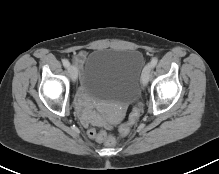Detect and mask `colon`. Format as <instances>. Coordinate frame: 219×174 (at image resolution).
Returning <instances> with one entry per match:
<instances>
[{
	"label": "colon",
	"instance_id": "colon-1",
	"mask_svg": "<svg viewBox=\"0 0 219 174\" xmlns=\"http://www.w3.org/2000/svg\"><path fill=\"white\" fill-rule=\"evenodd\" d=\"M140 114L141 108L138 105L134 106L130 113L128 121L122 124L119 128V134L122 137H126L130 134L131 127L138 120ZM87 134L90 138L96 139L99 142H103L110 147L115 144V138L103 130L97 131L93 128H90L87 131Z\"/></svg>",
	"mask_w": 219,
	"mask_h": 174
}]
</instances>
